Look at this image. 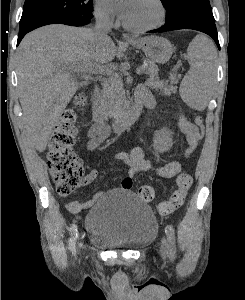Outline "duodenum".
Here are the masks:
<instances>
[{"instance_id":"duodenum-1","label":"duodenum","mask_w":245,"mask_h":300,"mask_svg":"<svg viewBox=\"0 0 245 300\" xmlns=\"http://www.w3.org/2000/svg\"><path fill=\"white\" fill-rule=\"evenodd\" d=\"M151 107L150 97L145 92L137 91L132 105L121 116L111 120L100 100V91L95 87L92 94V114L94 121L100 125L108 126L115 132L125 130L139 118L143 108Z\"/></svg>"}]
</instances>
